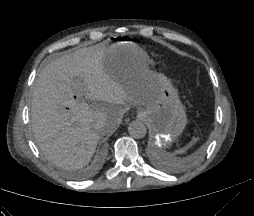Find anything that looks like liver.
I'll return each mask as SVG.
<instances>
[{
	"label": "liver",
	"instance_id": "liver-1",
	"mask_svg": "<svg viewBox=\"0 0 254 216\" xmlns=\"http://www.w3.org/2000/svg\"><path fill=\"white\" fill-rule=\"evenodd\" d=\"M110 53L106 41L62 55L36 80L32 131L45 157L58 167L80 169L88 164L100 138L117 128L124 110L151 103L152 75L121 74L111 67ZM78 82L85 99L74 98Z\"/></svg>",
	"mask_w": 254,
	"mask_h": 216
}]
</instances>
